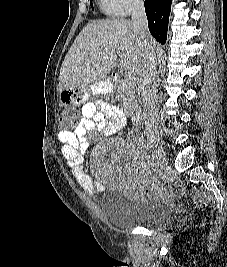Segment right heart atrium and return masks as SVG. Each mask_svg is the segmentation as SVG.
<instances>
[{
	"instance_id": "d8ad5b80",
	"label": "right heart atrium",
	"mask_w": 227,
	"mask_h": 267,
	"mask_svg": "<svg viewBox=\"0 0 227 267\" xmlns=\"http://www.w3.org/2000/svg\"><path fill=\"white\" fill-rule=\"evenodd\" d=\"M118 11L119 15H129L133 11L142 8L143 0H107Z\"/></svg>"
}]
</instances>
